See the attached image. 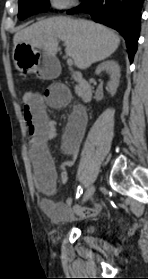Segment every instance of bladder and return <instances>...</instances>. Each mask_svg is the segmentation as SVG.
Segmentation results:
<instances>
[{"instance_id":"bladder-1","label":"bladder","mask_w":148,"mask_h":279,"mask_svg":"<svg viewBox=\"0 0 148 279\" xmlns=\"http://www.w3.org/2000/svg\"><path fill=\"white\" fill-rule=\"evenodd\" d=\"M82 232H84L85 234H94L95 232V226L92 225V224H88V225H85L83 228H82Z\"/></svg>"}]
</instances>
